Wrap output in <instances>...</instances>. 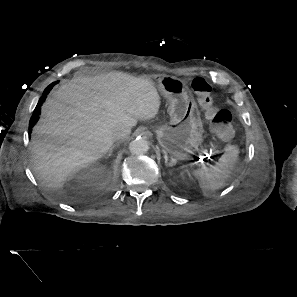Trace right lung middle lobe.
<instances>
[{
    "mask_svg": "<svg viewBox=\"0 0 297 297\" xmlns=\"http://www.w3.org/2000/svg\"><path fill=\"white\" fill-rule=\"evenodd\" d=\"M56 83H57V82H55V83H52L50 86H54Z\"/></svg>",
    "mask_w": 297,
    "mask_h": 297,
    "instance_id": "right-lung-middle-lobe-1",
    "label": "right lung middle lobe"
}]
</instances>
